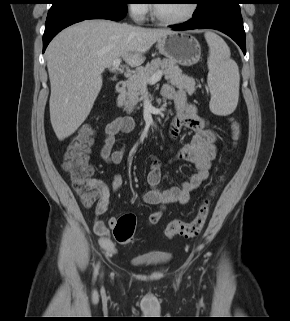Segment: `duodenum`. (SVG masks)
I'll return each mask as SVG.
<instances>
[{"label":"duodenum","instance_id":"1","mask_svg":"<svg viewBox=\"0 0 290 321\" xmlns=\"http://www.w3.org/2000/svg\"><path fill=\"white\" fill-rule=\"evenodd\" d=\"M126 90V82L124 80H120L115 85V91L117 94H122Z\"/></svg>","mask_w":290,"mask_h":321}]
</instances>
